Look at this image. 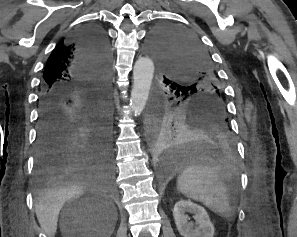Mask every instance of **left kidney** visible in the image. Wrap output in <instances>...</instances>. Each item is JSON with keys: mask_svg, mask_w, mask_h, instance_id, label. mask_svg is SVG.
<instances>
[{"mask_svg": "<svg viewBox=\"0 0 297 237\" xmlns=\"http://www.w3.org/2000/svg\"><path fill=\"white\" fill-rule=\"evenodd\" d=\"M186 213L194 214L195 223L189 222ZM173 217L178 232L183 237H213L214 226L206 210L189 200H179L173 210Z\"/></svg>", "mask_w": 297, "mask_h": 237, "instance_id": "5707ae66", "label": "left kidney"}]
</instances>
